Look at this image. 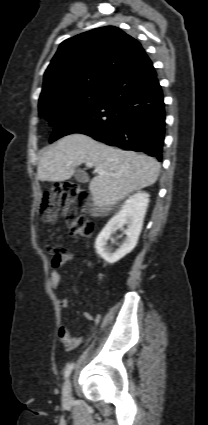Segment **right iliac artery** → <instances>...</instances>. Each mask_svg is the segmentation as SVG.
Returning <instances> with one entry per match:
<instances>
[{
    "mask_svg": "<svg viewBox=\"0 0 208 425\" xmlns=\"http://www.w3.org/2000/svg\"><path fill=\"white\" fill-rule=\"evenodd\" d=\"M73 367H74V363H71V364H68L67 365L66 370H65V373H64V378L65 379L69 377V375L72 372Z\"/></svg>",
    "mask_w": 208,
    "mask_h": 425,
    "instance_id": "82829eb1",
    "label": "right iliac artery"
}]
</instances>
